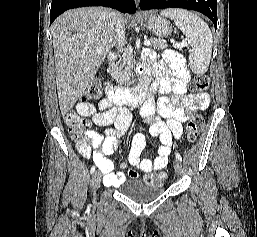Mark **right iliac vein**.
<instances>
[{"label": "right iliac vein", "mask_w": 257, "mask_h": 237, "mask_svg": "<svg viewBox=\"0 0 257 237\" xmlns=\"http://www.w3.org/2000/svg\"><path fill=\"white\" fill-rule=\"evenodd\" d=\"M100 181H101V173H100V171H95L92 176V181H91L94 196L96 194L97 188L100 185Z\"/></svg>", "instance_id": "63e3f726"}]
</instances>
